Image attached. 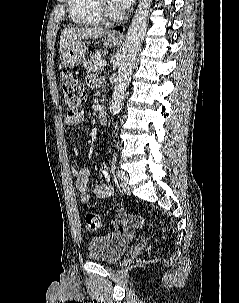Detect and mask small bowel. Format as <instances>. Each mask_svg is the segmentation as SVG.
Returning a JSON list of instances; mask_svg holds the SVG:
<instances>
[{
	"label": "small bowel",
	"mask_w": 239,
	"mask_h": 303,
	"mask_svg": "<svg viewBox=\"0 0 239 303\" xmlns=\"http://www.w3.org/2000/svg\"><path fill=\"white\" fill-rule=\"evenodd\" d=\"M96 84L97 81L95 78L93 77L88 78L89 86H95ZM83 120H84L83 114H77L75 116L66 117L65 124L68 127H75L80 123H82ZM100 172L102 174L103 181L97 184L94 188H91L88 184V179L90 174L89 169L87 167L72 169L73 176L75 177V184L81 193V201L83 203H87L91 200L92 193H94L96 196L100 198L108 197L112 194L113 186L110 182L109 168H108V163L106 161H103L100 164ZM119 215L124 216V214L121 212H119ZM125 218H132L134 222L133 223L123 222L121 228L118 229L120 231H124L130 226L141 227L143 225V219L139 216H125ZM120 222H121L120 220L114 222L116 228Z\"/></svg>",
	"instance_id": "1"
}]
</instances>
